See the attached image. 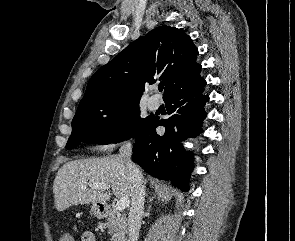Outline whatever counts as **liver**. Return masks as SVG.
Returning a JSON list of instances; mask_svg holds the SVG:
<instances>
[{
    "label": "liver",
    "mask_w": 295,
    "mask_h": 241,
    "mask_svg": "<svg viewBox=\"0 0 295 241\" xmlns=\"http://www.w3.org/2000/svg\"><path fill=\"white\" fill-rule=\"evenodd\" d=\"M95 184L111 185L115 196H132V182L125 162L118 155L66 162L53 183L55 206L63 211L78 204H105L110 194L93 188ZM86 188H82V187Z\"/></svg>",
    "instance_id": "1"
}]
</instances>
